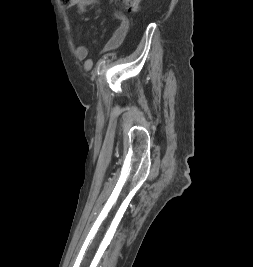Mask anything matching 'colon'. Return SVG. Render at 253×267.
Wrapping results in <instances>:
<instances>
[{
    "mask_svg": "<svg viewBox=\"0 0 253 267\" xmlns=\"http://www.w3.org/2000/svg\"><path fill=\"white\" fill-rule=\"evenodd\" d=\"M95 0H62V3L66 6H73L76 4H89ZM124 9L128 13H135L139 10L141 0H122Z\"/></svg>",
    "mask_w": 253,
    "mask_h": 267,
    "instance_id": "5ec220e1",
    "label": "colon"
}]
</instances>
